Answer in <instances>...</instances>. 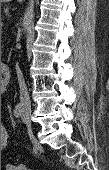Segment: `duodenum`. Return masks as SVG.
Instances as JSON below:
<instances>
[{"mask_svg": "<svg viewBox=\"0 0 109 170\" xmlns=\"http://www.w3.org/2000/svg\"><path fill=\"white\" fill-rule=\"evenodd\" d=\"M10 75V68L7 64L1 65V91L5 92L8 87V78Z\"/></svg>", "mask_w": 109, "mask_h": 170, "instance_id": "1", "label": "duodenum"}]
</instances>
